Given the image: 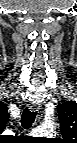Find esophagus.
<instances>
[{
  "label": "esophagus",
  "instance_id": "34e87169",
  "mask_svg": "<svg viewBox=\"0 0 77 143\" xmlns=\"http://www.w3.org/2000/svg\"><path fill=\"white\" fill-rule=\"evenodd\" d=\"M29 109L31 110V111H36V110H38L39 109V105L38 104H31V105H29Z\"/></svg>",
  "mask_w": 77,
  "mask_h": 143
}]
</instances>
